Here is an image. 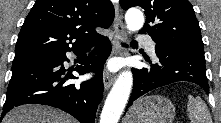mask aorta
Wrapping results in <instances>:
<instances>
[{"instance_id":"aorta-1","label":"aorta","mask_w":221,"mask_h":123,"mask_svg":"<svg viewBox=\"0 0 221 123\" xmlns=\"http://www.w3.org/2000/svg\"><path fill=\"white\" fill-rule=\"evenodd\" d=\"M125 21L129 31L140 30L144 24L143 13L136 8L129 9L125 14ZM133 84L131 71L119 74L110 91L100 117V123H118L126 106Z\"/></svg>"}]
</instances>
